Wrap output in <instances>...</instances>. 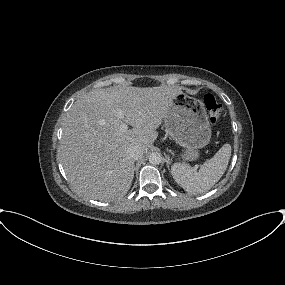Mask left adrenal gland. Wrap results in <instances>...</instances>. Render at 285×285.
I'll return each mask as SVG.
<instances>
[{"mask_svg": "<svg viewBox=\"0 0 285 285\" xmlns=\"http://www.w3.org/2000/svg\"><path fill=\"white\" fill-rule=\"evenodd\" d=\"M166 163H167V167L169 169V163H170V158L169 157H166Z\"/></svg>", "mask_w": 285, "mask_h": 285, "instance_id": "a2214340", "label": "left adrenal gland"}]
</instances>
